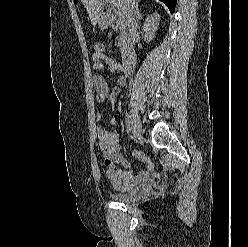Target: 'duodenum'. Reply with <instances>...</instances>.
<instances>
[{
    "label": "duodenum",
    "mask_w": 248,
    "mask_h": 247,
    "mask_svg": "<svg viewBox=\"0 0 248 247\" xmlns=\"http://www.w3.org/2000/svg\"><path fill=\"white\" fill-rule=\"evenodd\" d=\"M103 21L109 25H112V18L110 15L108 14H103ZM137 62V53L133 48L128 49L125 52V57H124V61H123V71L125 73H128L130 71H132L136 65Z\"/></svg>",
    "instance_id": "410a0bca"
}]
</instances>
